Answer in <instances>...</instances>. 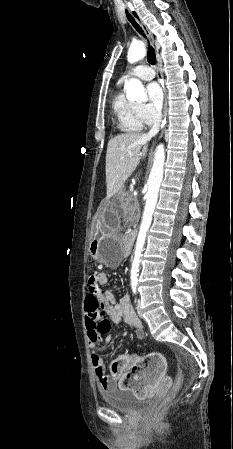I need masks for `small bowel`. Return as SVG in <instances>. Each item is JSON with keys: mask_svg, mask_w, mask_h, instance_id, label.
Segmentation results:
<instances>
[{"mask_svg": "<svg viewBox=\"0 0 233 449\" xmlns=\"http://www.w3.org/2000/svg\"><path fill=\"white\" fill-rule=\"evenodd\" d=\"M87 281V290L90 296H98L97 301H100V307L106 310L109 320L113 323L123 321L133 326L137 337L143 338V325L133 310L130 296L123 295L117 301L110 291H105L104 287L110 284V277L106 273L92 270L87 276ZM86 329L89 347L92 351L91 360L101 390L111 389L116 383L121 384V381L128 377L131 390H134V399H154L155 394H161L162 388L159 384L160 377H165L164 362L166 358L164 354H151L149 358L151 363H147L146 368H140L139 375L131 376L128 375L126 365L137 361L139 357L135 354L124 355L111 364V373L107 374L105 360L101 353L112 340V336L103 338L97 328H87L86 326ZM101 342L103 345L99 346Z\"/></svg>", "mask_w": 233, "mask_h": 449, "instance_id": "obj_1", "label": "small bowel"}]
</instances>
